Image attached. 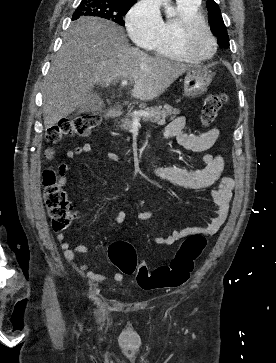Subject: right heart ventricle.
<instances>
[{
  "mask_svg": "<svg viewBox=\"0 0 276 363\" xmlns=\"http://www.w3.org/2000/svg\"><path fill=\"white\" fill-rule=\"evenodd\" d=\"M177 16L162 22L157 38L147 47L156 55L179 61L190 62L181 50L178 42V27L186 19L193 17L203 18L200 1L186 2L177 0Z\"/></svg>",
  "mask_w": 276,
  "mask_h": 363,
  "instance_id": "e07e8e85",
  "label": "right heart ventricle"
}]
</instances>
